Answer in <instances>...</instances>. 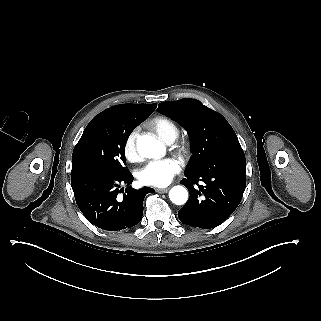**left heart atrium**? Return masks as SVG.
Masks as SVG:
<instances>
[{
	"label": "left heart atrium",
	"instance_id": "39dd6f15",
	"mask_svg": "<svg viewBox=\"0 0 321 321\" xmlns=\"http://www.w3.org/2000/svg\"><path fill=\"white\" fill-rule=\"evenodd\" d=\"M182 167V161L175 157L154 160L138 171V178L145 185L163 187L171 183Z\"/></svg>",
	"mask_w": 321,
	"mask_h": 321
}]
</instances>
